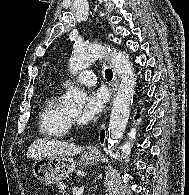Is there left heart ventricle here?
<instances>
[{
    "label": "left heart ventricle",
    "instance_id": "obj_1",
    "mask_svg": "<svg viewBox=\"0 0 189 195\" xmlns=\"http://www.w3.org/2000/svg\"><path fill=\"white\" fill-rule=\"evenodd\" d=\"M70 114L77 117L80 114V109L70 111Z\"/></svg>",
    "mask_w": 189,
    "mask_h": 195
}]
</instances>
